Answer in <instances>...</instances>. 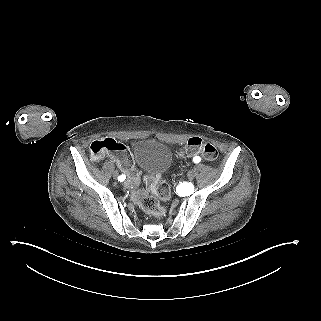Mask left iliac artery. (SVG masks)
<instances>
[{
  "instance_id": "1",
  "label": "left iliac artery",
  "mask_w": 321,
  "mask_h": 321,
  "mask_svg": "<svg viewBox=\"0 0 321 321\" xmlns=\"http://www.w3.org/2000/svg\"><path fill=\"white\" fill-rule=\"evenodd\" d=\"M193 161H194V163H199V162L201 161V159H200L199 157H195V158L193 159Z\"/></svg>"
}]
</instances>
